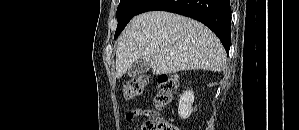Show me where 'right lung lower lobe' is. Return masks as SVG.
<instances>
[{"label":"right lung lower lobe","mask_w":299,"mask_h":130,"mask_svg":"<svg viewBox=\"0 0 299 130\" xmlns=\"http://www.w3.org/2000/svg\"><path fill=\"white\" fill-rule=\"evenodd\" d=\"M154 10L173 12L202 22L218 36L226 52L229 53L231 45L229 0H147L137 14Z\"/></svg>","instance_id":"1"}]
</instances>
